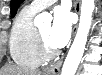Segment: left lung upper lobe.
I'll list each match as a JSON object with an SVG mask.
<instances>
[{
	"label": "left lung upper lobe",
	"instance_id": "left-lung-upper-lobe-1",
	"mask_svg": "<svg viewBox=\"0 0 102 75\" xmlns=\"http://www.w3.org/2000/svg\"><path fill=\"white\" fill-rule=\"evenodd\" d=\"M23 0H11V17H14Z\"/></svg>",
	"mask_w": 102,
	"mask_h": 75
}]
</instances>
